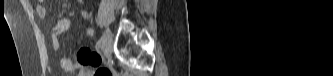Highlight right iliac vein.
<instances>
[{"instance_id": "1", "label": "right iliac vein", "mask_w": 333, "mask_h": 76, "mask_svg": "<svg viewBox=\"0 0 333 76\" xmlns=\"http://www.w3.org/2000/svg\"><path fill=\"white\" fill-rule=\"evenodd\" d=\"M112 45H113L112 33L110 32L109 29H106L103 34V47H104L105 56H109V54L111 53Z\"/></svg>"}]
</instances>
